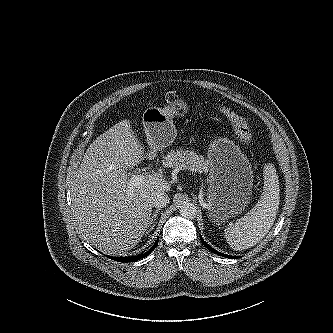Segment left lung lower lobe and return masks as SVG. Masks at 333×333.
I'll return each mask as SVG.
<instances>
[{
    "label": "left lung lower lobe",
    "mask_w": 333,
    "mask_h": 333,
    "mask_svg": "<svg viewBox=\"0 0 333 333\" xmlns=\"http://www.w3.org/2000/svg\"><path fill=\"white\" fill-rule=\"evenodd\" d=\"M200 240H201L202 244H203L206 248H208L210 251H212V252L215 253V254H218V255H220V256H222V257L231 258V259H235V258H237V257H235V256H230V255L223 254V253L218 252V251H216L215 249L211 248V246L208 245V244L203 240V238L201 237V235H200Z\"/></svg>",
    "instance_id": "left-lung-lower-lobe-1"
}]
</instances>
